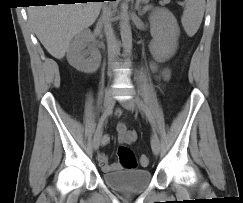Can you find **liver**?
Segmentation results:
<instances>
[{"mask_svg":"<svg viewBox=\"0 0 243 203\" xmlns=\"http://www.w3.org/2000/svg\"><path fill=\"white\" fill-rule=\"evenodd\" d=\"M101 6V2L31 6L28 16L45 49L62 59L72 38L95 22Z\"/></svg>","mask_w":243,"mask_h":203,"instance_id":"1","label":"liver"}]
</instances>
